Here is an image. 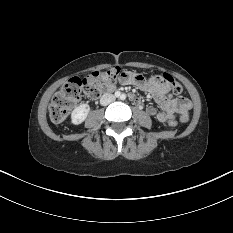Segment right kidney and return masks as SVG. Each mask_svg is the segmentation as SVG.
I'll return each instance as SVG.
<instances>
[{
	"mask_svg": "<svg viewBox=\"0 0 233 233\" xmlns=\"http://www.w3.org/2000/svg\"><path fill=\"white\" fill-rule=\"evenodd\" d=\"M89 111H90V107L88 104H80L72 111L71 122L74 125L81 124L87 118Z\"/></svg>",
	"mask_w": 233,
	"mask_h": 233,
	"instance_id": "1",
	"label": "right kidney"
}]
</instances>
